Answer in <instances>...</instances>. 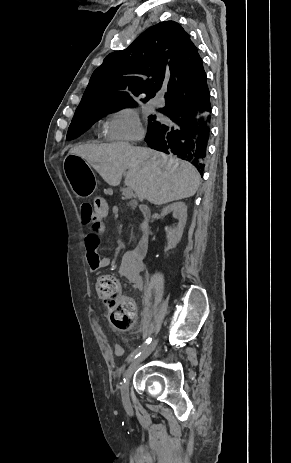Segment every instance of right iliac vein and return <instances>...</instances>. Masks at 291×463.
<instances>
[{
  "mask_svg": "<svg viewBox=\"0 0 291 463\" xmlns=\"http://www.w3.org/2000/svg\"><path fill=\"white\" fill-rule=\"evenodd\" d=\"M157 344V340L154 341L152 344L146 346L143 351L141 352V354L132 361V363L130 364V366L128 367L127 371H126V375H125V381L123 382L122 384V387H121V394H122V401H123V404L125 406V408H128L130 407V400H129V381L136 369V367L138 366V364L143 360L145 359L148 355L151 354V352L154 350L155 346Z\"/></svg>",
  "mask_w": 291,
  "mask_h": 463,
  "instance_id": "right-iliac-vein-1",
  "label": "right iliac vein"
}]
</instances>
